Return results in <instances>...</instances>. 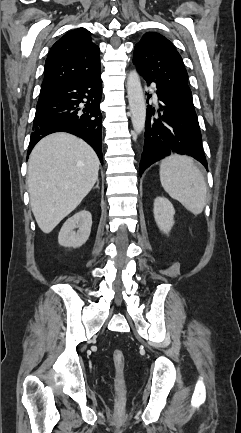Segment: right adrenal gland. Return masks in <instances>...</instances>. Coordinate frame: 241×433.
<instances>
[{"label": "right adrenal gland", "instance_id": "obj_1", "mask_svg": "<svg viewBox=\"0 0 241 433\" xmlns=\"http://www.w3.org/2000/svg\"><path fill=\"white\" fill-rule=\"evenodd\" d=\"M94 188L100 189V187H99V180H97V184H96V186Z\"/></svg>", "mask_w": 241, "mask_h": 433}]
</instances>
